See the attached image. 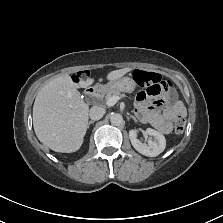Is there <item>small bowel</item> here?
Segmentation results:
<instances>
[{"instance_id":"c3829d8e","label":"small bowel","mask_w":223,"mask_h":223,"mask_svg":"<svg viewBox=\"0 0 223 223\" xmlns=\"http://www.w3.org/2000/svg\"><path fill=\"white\" fill-rule=\"evenodd\" d=\"M135 107L142 121L165 134L172 131L176 117L186 113L185 106L177 100L167 80L139 92L136 96Z\"/></svg>"}]
</instances>
